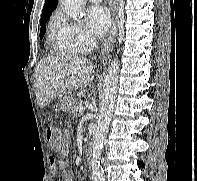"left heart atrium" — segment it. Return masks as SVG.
Listing matches in <instances>:
<instances>
[{
    "mask_svg": "<svg viewBox=\"0 0 197 181\" xmlns=\"http://www.w3.org/2000/svg\"><path fill=\"white\" fill-rule=\"evenodd\" d=\"M86 20L91 32L95 35L102 36L110 27L111 15L108 8L96 5L87 10Z\"/></svg>",
    "mask_w": 197,
    "mask_h": 181,
    "instance_id": "39dd6f15",
    "label": "left heart atrium"
}]
</instances>
